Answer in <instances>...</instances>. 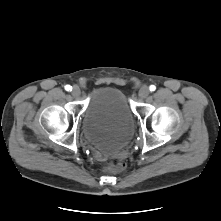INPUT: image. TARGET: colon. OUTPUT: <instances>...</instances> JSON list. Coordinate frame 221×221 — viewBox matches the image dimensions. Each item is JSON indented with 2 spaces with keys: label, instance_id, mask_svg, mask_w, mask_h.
Returning <instances> with one entry per match:
<instances>
[{
  "label": "colon",
  "instance_id": "1",
  "mask_svg": "<svg viewBox=\"0 0 221 221\" xmlns=\"http://www.w3.org/2000/svg\"><path fill=\"white\" fill-rule=\"evenodd\" d=\"M126 167V163L121 159H113L108 164V169L110 171L119 172L124 170Z\"/></svg>",
  "mask_w": 221,
  "mask_h": 221
}]
</instances>
